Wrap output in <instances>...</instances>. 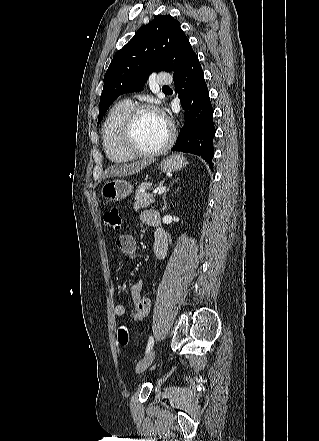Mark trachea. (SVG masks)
Listing matches in <instances>:
<instances>
[{
	"instance_id": "3493384b",
	"label": "trachea",
	"mask_w": 319,
	"mask_h": 441,
	"mask_svg": "<svg viewBox=\"0 0 319 441\" xmlns=\"http://www.w3.org/2000/svg\"><path fill=\"white\" fill-rule=\"evenodd\" d=\"M162 89H169V87L168 86H164Z\"/></svg>"
}]
</instances>
